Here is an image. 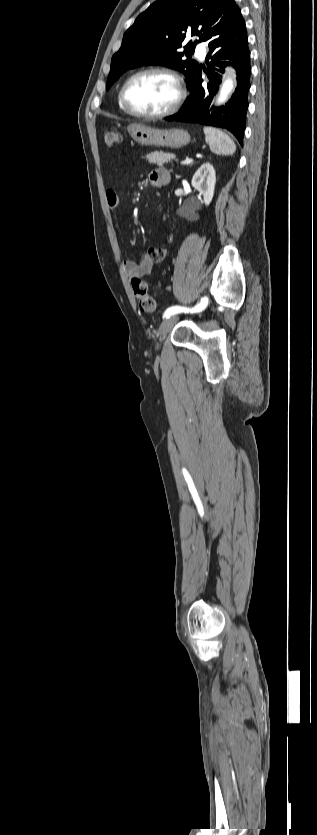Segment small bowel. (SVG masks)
I'll list each match as a JSON object with an SVG mask.
<instances>
[{
    "instance_id": "small-bowel-1",
    "label": "small bowel",
    "mask_w": 317,
    "mask_h": 835,
    "mask_svg": "<svg viewBox=\"0 0 317 835\" xmlns=\"http://www.w3.org/2000/svg\"><path fill=\"white\" fill-rule=\"evenodd\" d=\"M149 180L150 182L157 186H165L169 184L171 181V174L165 168H156L153 169L149 173ZM106 201L107 205L110 210L116 211L119 207V199L118 195L114 190H107L106 191ZM156 260H154L148 252H145L139 260H132V259H125L123 261V265L126 271V274L129 278H142L146 275H149L154 266L156 264Z\"/></svg>"
}]
</instances>
